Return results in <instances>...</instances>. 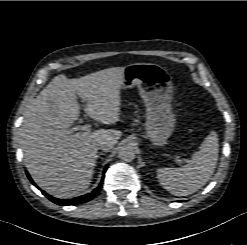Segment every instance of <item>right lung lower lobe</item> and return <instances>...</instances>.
<instances>
[{"instance_id": "obj_1", "label": "right lung lower lobe", "mask_w": 247, "mask_h": 245, "mask_svg": "<svg viewBox=\"0 0 247 245\" xmlns=\"http://www.w3.org/2000/svg\"><path fill=\"white\" fill-rule=\"evenodd\" d=\"M108 166L105 167L104 172H103V176H102V180L99 184V186L94 189L91 193L86 194V195H82L73 199H58V198H54L48 194H46L44 191L42 192L48 199H50L52 202L58 204V205H77L80 203H84L86 201H89L91 199H93L98 192L101 190L102 188V184H103V179H104V173L107 170ZM28 178L30 179V181L32 182V184H34L36 186V184L32 181V179L30 178L29 174L27 173Z\"/></svg>"}]
</instances>
